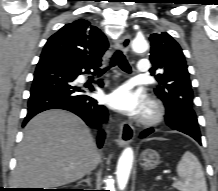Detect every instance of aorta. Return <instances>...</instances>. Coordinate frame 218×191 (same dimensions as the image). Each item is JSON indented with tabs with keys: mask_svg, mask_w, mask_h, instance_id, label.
<instances>
[{
	"mask_svg": "<svg viewBox=\"0 0 218 191\" xmlns=\"http://www.w3.org/2000/svg\"><path fill=\"white\" fill-rule=\"evenodd\" d=\"M131 46L133 51L137 53L145 52L148 49V43L144 38H135L132 41ZM133 159V149L131 147L125 148L118 160L116 170L117 182L120 190H123L128 183Z\"/></svg>",
	"mask_w": 218,
	"mask_h": 191,
	"instance_id": "obj_1",
	"label": "aorta"
}]
</instances>
